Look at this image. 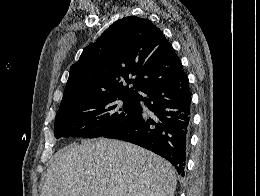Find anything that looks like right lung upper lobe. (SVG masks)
Segmentation results:
<instances>
[{
	"instance_id": "obj_1",
	"label": "right lung upper lobe",
	"mask_w": 260,
	"mask_h": 196,
	"mask_svg": "<svg viewBox=\"0 0 260 196\" xmlns=\"http://www.w3.org/2000/svg\"><path fill=\"white\" fill-rule=\"evenodd\" d=\"M181 71L162 31L147 19L128 16L114 22L71 66L59 110L98 94L139 96Z\"/></svg>"
}]
</instances>
